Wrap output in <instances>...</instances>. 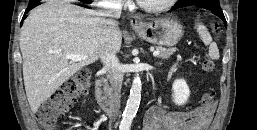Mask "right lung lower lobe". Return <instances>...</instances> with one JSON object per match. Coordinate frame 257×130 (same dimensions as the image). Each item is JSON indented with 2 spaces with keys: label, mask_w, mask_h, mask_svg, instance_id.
I'll use <instances>...</instances> for the list:
<instances>
[{
  "label": "right lung lower lobe",
  "mask_w": 257,
  "mask_h": 130,
  "mask_svg": "<svg viewBox=\"0 0 257 130\" xmlns=\"http://www.w3.org/2000/svg\"><path fill=\"white\" fill-rule=\"evenodd\" d=\"M37 5H38V1L31 0L30 3H29L28 8H27L26 11H25V14H27L31 9H33V8L36 7ZM25 14H24V16H23V18H22V21L26 18V17H25Z\"/></svg>",
  "instance_id": "1"
}]
</instances>
